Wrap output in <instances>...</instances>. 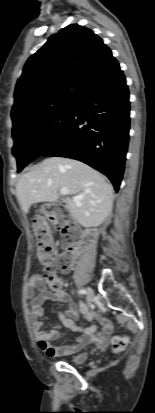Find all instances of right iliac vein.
Wrapping results in <instances>:
<instances>
[{"label":"right iliac vein","mask_w":155,"mask_h":413,"mask_svg":"<svg viewBox=\"0 0 155 413\" xmlns=\"http://www.w3.org/2000/svg\"><path fill=\"white\" fill-rule=\"evenodd\" d=\"M86 291H87V303L88 305H91L94 299V291L90 287H87Z\"/></svg>","instance_id":"obj_1"}]
</instances>
